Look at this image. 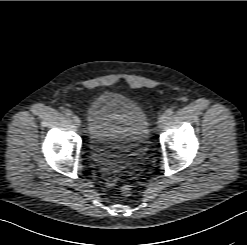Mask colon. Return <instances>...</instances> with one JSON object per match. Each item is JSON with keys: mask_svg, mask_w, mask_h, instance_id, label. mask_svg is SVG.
<instances>
[{"mask_svg": "<svg viewBox=\"0 0 247 245\" xmlns=\"http://www.w3.org/2000/svg\"><path fill=\"white\" fill-rule=\"evenodd\" d=\"M120 190H121V194L123 196H130L131 195V192H132V188L128 184L122 185Z\"/></svg>", "mask_w": 247, "mask_h": 245, "instance_id": "colon-1", "label": "colon"}]
</instances>
